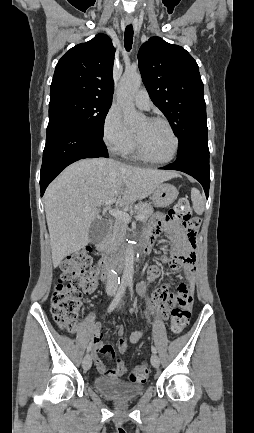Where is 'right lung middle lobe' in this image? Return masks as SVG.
<instances>
[{
    "mask_svg": "<svg viewBox=\"0 0 254 433\" xmlns=\"http://www.w3.org/2000/svg\"><path fill=\"white\" fill-rule=\"evenodd\" d=\"M111 103L91 99H67L49 105V118L61 117L103 136L104 121Z\"/></svg>",
    "mask_w": 254,
    "mask_h": 433,
    "instance_id": "right-lung-middle-lobe-1",
    "label": "right lung middle lobe"
}]
</instances>
